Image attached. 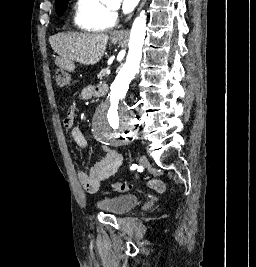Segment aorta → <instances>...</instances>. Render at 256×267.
Listing matches in <instances>:
<instances>
[{"mask_svg": "<svg viewBox=\"0 0 256 267\" xmlns=\"http://www.w3.org/2000/svg\"><path fill=\"white\" fill-rule=\"evenodd\" d=\"M146 18L145 12H141L132 24L128 42L129 52L122 66L124 72L116 75V81H113L107 100L101 101L100 108H95L93 127H132V108H127V104H122V101L128 83H131L134 72L140 68ZM90 133L91 138H96V143H130V138H122V133H127V128H90Z\"/></svg>", "mask_w": 256, "mask_h": 267, "instance_id": "obj_1", "label": "aorta"}]
</instances>
